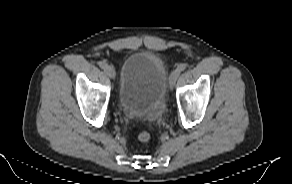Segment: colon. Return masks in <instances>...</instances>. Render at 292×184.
<instances>
[{"mask_svg":"<svg viewBox=\"0 0 292 184\" xmlns=\"http://www.w3.org/2000/svg\"><path fill=\"white\" fill-rule=\"evenodd\" d=\"M138 140H139L141 143L146 144V143L150 142V140H151V135H150V133L147 132V131H142V132H140L139 135H138Z\"/></svg>","mask_w":292,"mask_h":184,"instance_id":"obj_1","label":"colon"}]
</instances>
